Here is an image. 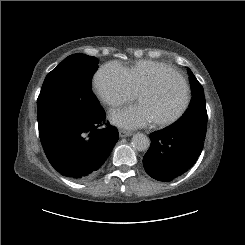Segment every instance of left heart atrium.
I'll list each match as a JSON object with an SVG mask.
<instances>
[{
    "instance_id": "1",
    "label": "left heart atrium",
    "mask_w": 245,
    "mask_h": 245,
    "mask_svg": "<svg viewBox=\"0 0 245 245\" xmlns=\"http://www.w3.org/2000/svg\"><path fill=\"white\" fill-rule=\"evenodd\" d=\"M111 122L126 130H135L151 125L154 121L148 109L142 105H132L110 114Z\"/></svg>"
}]
</instances>
